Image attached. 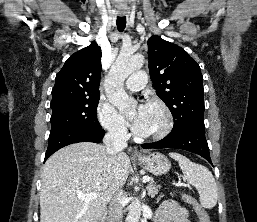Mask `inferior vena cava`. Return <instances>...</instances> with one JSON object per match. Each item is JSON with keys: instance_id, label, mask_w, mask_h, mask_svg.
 <instances>
[{"instance_id": "obj_1", "label": "inferior vena cava", "mask_w": 257, "mask_h": 222, "mask_svg": "<svg viewBox=\"0 0 257 222\" xmlns=\"http://www.w3.org/2000/svg\"><path fill=\"white\" fill-rule=\"evenodd\" d=\"M128 138L129 135L125 128L119 125L111 126L103 139L106 146V153L111 157H115L120 151L127 147ZM121 194L122 192L110 201L109 222H122L123 205Z\"/></svg>"}]
</instances>
